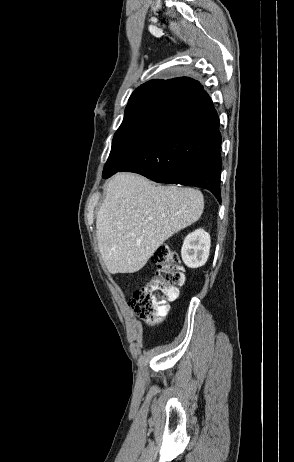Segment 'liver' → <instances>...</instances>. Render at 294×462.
Segmentation results:
<instances>
[{
	"mask_svg": "<svg viewBox=\"0 0 294 462\" xmlns=\"http://www.w3.org/2000/svg\"><path fill=\"white\" fill-rule=\"evenodd\" d=\"M104 192L96 235L111 274L142 269L163 242L196 222L204 208L199 190L154 186L132 173L113 176Z\"/></svg>",
	"mask_w": 294,
	"mask_h": 462,
	"instance_id": "obj_1",
	"label": "liver"
}]
</instances>
